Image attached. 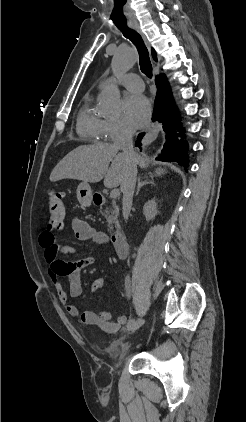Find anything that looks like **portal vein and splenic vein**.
<instances>
[{
    "mask_svg": "<svg viewBox=\"0 0 246 422\" xmlns=\"http://www.w3.org/2000/svg\"><path fill=\"white\" fill-rule=\"evenodd\" d=\"M119 195H120L119 189H113L110 193L111 198H117V197H119Z\"/></svg>",
    "mask_w": 246,
    "mask_h": 422,
    "instance_id": "portal-vein-and-splenic-vein-1",
    "label": "portal vein and splenic vein"
}]
</instances>
